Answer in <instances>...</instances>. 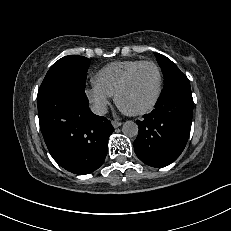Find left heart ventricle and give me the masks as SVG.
Here are the masks:
<instances>
[{"label": "left heart ventricle", "mask_w": 231, "mask_h": 231, "mask_svg": "<svg viewBox=\"0 0 231 231\" xmlns=\"http://www.w3.org/2000/svg\"><path fill=\"white\" fill-rule=\"evenodd\" d=\"M157 89V73L152 66L141 67L133 76L129 86L122 93L120 103L129 111L147 106Z\"/></svg>", "instance_id": "1"}]
</instances>
